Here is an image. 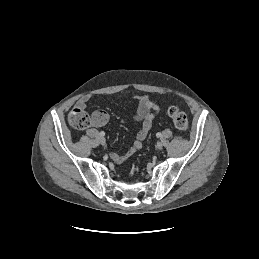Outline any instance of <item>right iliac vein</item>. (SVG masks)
<instances>
[{
  "mask_svg": "<svg viewBox=\"0 0 259 259\" xmlns=\"http://www.w3.org/2000/svg\"><path fill=\"white\" fill-rule=\"evenodd\" d=\"M100 143H101L102 145H105V144H106V140H105L104 137H101V138H100Z\"/></svg>",
  "mask_w": 259,
  "mask_h": 259,
  "instance_id": "obj_1",
  "label": "right iliac vein"
}]
</instances>
